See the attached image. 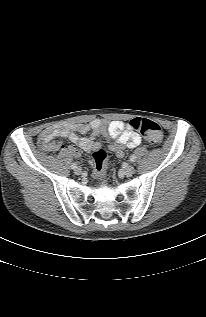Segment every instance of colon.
<instances>
[{
	"instance_id": "1",
	"label": "colon",
	"mask_w": 206,
	"mask_h": 317,
	"mask_svg": "<svg viewBox=\"0 0 206 317\" xmlns=\"http://www.w3.org/2000/svg\"><path fill=\"white\" fill-rule=\"evenodd\" d=\"M130 125L134 130L139 131L148 142L159 144L162 141L163 132L157 122L137 117L131 120ZM93 159L95 176L102 178L106 170L107 153L103 149H97L93 153Z\"/></svg>"
}]
</instances>
